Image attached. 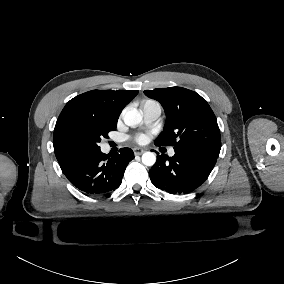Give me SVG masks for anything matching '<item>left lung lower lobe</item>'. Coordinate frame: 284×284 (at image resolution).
Listing matches in <instances>:
<instances>
[{
    "label": "left lung lower lobe",
    "instance_id": "left-lung-lower-lobe-1",
    "mask_svg": "<svg viewBox=\"0 0 284 284\" xmlns=\"http://www.w3.org/2000/svg\"><path fill=\"white\" fill-rule=\"evenodd\" d=\"M168 157L157 153V161L149 170L152 184L171 194H187L208 178L217 158L189 149H174Z\"/></svg>",
    "mask_w": 284,
    "mask_h": 284
}]
</instances>
